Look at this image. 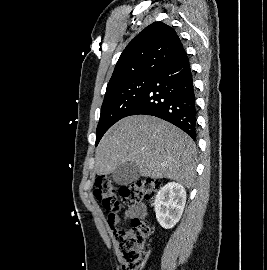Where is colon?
<instances>
[{"label":"colon","instance_id":"5ec220e1","mask_svg":"<svg viewBox=\"0 0 267 270\" xmlns=\"http://www.w3.org/2000/svg\"><path fill=\"white\" fill-rule=\"evenodd\" d=\"M159 188L160 182L153 178H142L117 187L109 178L102 176L96 179L94 196L111 216H115L123 204L153 201ZM115 240L122 269L140 270L149 249V223L142 218L133 219L129 229L115 233Z\"/></svg>","mask_w":267,"mask_h":270}]
</instances>
